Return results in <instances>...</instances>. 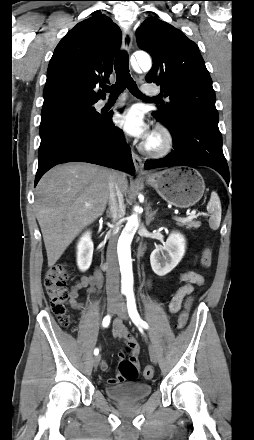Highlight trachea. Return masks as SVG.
Here are the masks:
<instances>
[{"label":"trachea","mask_w":254,"mask_h":440,"mask_svg":"<svg viewBox=\"0 0 254 440\" xmlns=\"http://www.w3.org/2000/svg\"><path fill=\"white\" fill-rule=\"evenodd\" d=\"M115 72H116V83L112 86H105L103 89L110 93V98H117L125 88L137 97H141L147 100H159L158 97L148 98L140 93L137 88L136 82L133 80L129 73V59L128 54L122 51L115 60Z\"/></svg>","instance_id":"obj_1"}]
</instances>
